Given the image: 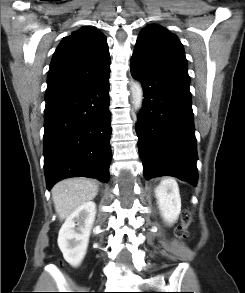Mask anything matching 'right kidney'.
I'll return each mask as SVG.
<instances>
[{"label": "right kidney", "instance_id": "ca27d5eb", "mask_svg": "<svg viewBox=\"0 0 245 293\" xmlns=\"http://www.w3.org/2000/svg\"><path fill=\"white\" fill-rule=\"evenodd\" d=\"M95 215L96 204L86 202L66 218L59 231L58 246L73 267L79 266L85 257Z\"/></svg>", "mask_w": 245, "mask_h": 293}]
</instances>
